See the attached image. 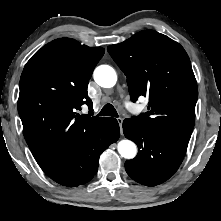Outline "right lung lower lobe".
I'll use <instances>...</instances> for the list:
<instances>
[{"label": "right lung lower lobe", "instance_id": "98d812e1", "mask_svg": "<svg viewBox=\"0 0 221 221\" xmlns=\"http://www.w3.org/2000/svg\"><path fill=\"white\" fill-rule=\"evenodd\" d=\"M119 135L117 120L103 118L91 134L42 170L64 186L75 187L87 183L97 173L101 153L116 142Z\"/></svg>", "mask_w": 221, "mask_h": 221}]
</instances>
